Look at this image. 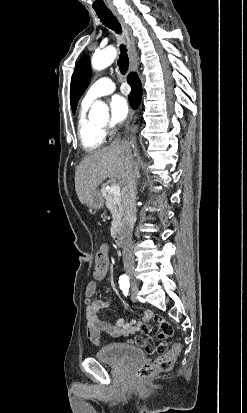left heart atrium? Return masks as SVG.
Masks as SVG:
<instances>
[{
  "instance_id": "left-heart-atrium-1",
  "label": "left heart atrium",
  "mask_w": 247,
  "mask_h": 413,
  "mask_svg": "<svg viewBox=\"0 0 247 413\" xmlns=\"http://www.w3.org/2000/svg\"><path fill=\"white\" fill-rule=\"evenodd\" d=\"M109 106L114 123H122L128 113V104L126 99L120 94H115L110 98Z\"/></svg>"
}]
</instances>
